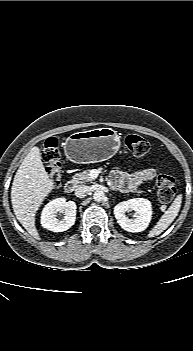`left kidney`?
Listing matches in <instances>:
<instances>
[{
  "mask_svg": "<svg viewBox=\"0 0 193 351\" xmlns=\"http://www.w3.org/2000/svg\"><path fill=\"white\" fill-rule=\"evenodd\" d=\"M134 211V219L126 216L127 212ZM114 215L118 224L128 232L144 231L152 217V207L149 200L144 198H133L118 203L114 207Z\"/></svg>",
  "mask_w": 193,
  "mask_h": 351,
  "instance_id": "1",
  "label": "left kidney"
}]
</instances>
